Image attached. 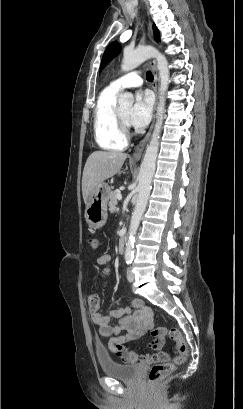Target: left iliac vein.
Instances as JSON below:
<instances>
[{"instance_id":"left-iliac-vein-1","label":"left iliac vein","mask_w":243,"mask_h":409,"mask_svg":"<svg viewBox=\"0 0 243 409\" xmlns=\"http://www.w3.org/2000/svg\"><path fill=\"white\" fill-rule=\"evenodd\" d=\"M127 280H128L129 282H133V281H134V273L132 272V268H131V267H129V268L127 269Z\"/></svg>"}]
</instances>
